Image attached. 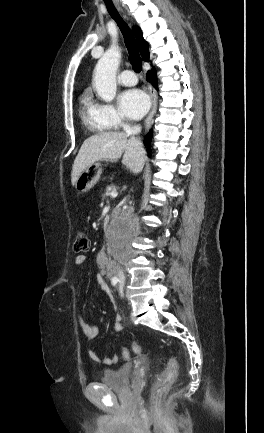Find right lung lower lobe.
<instances>
[{
  "label": "right lung lower lobe",
  "instance_id": "98d812e1",
  "mask_svg": "<svg viewBox=\"0 0 264 433\" xmlns=\"http://www.w3.org/2000/svg\"><path fill=\"white\" fill-rule=\"evenodd\" d=\"M150 79L153 86L157 89V76L155 70H152L150 72ZM151 137H152V130H150L148 135L145 137V143H148V145H150Z\"/></svg>",
  "mask_w": 264,
  "mask_h": 433
}]
</instances>
